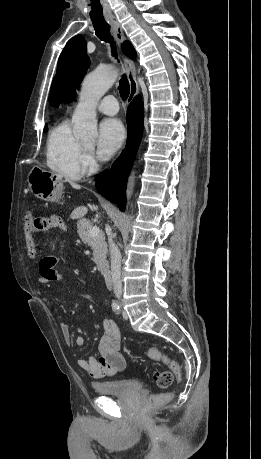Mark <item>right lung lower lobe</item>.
<instances>
[{"label": "right lung lower lobe", "mask_w": 261, "mask_h": 459, "mask_svg": "<svg viewBox=\"0 0 261 459\" xmlns=\"http://www.w3.org/2000/svg\"><path fill=\"white\" fill-rule=\"evenodd\" d=\"M143 106L139 97H135L127 109L128 138L121 156L115 161L110 171H104L97 179L96 188L106 199L116 203L120 210L125 208V190L127 178L135 159L143 133Z\"/></svg>", "instance_id": "98d812e1"}]
</instances>
